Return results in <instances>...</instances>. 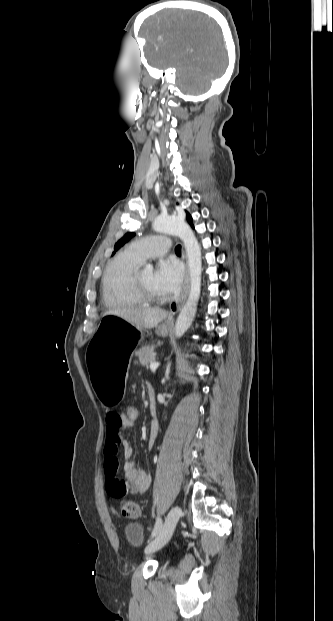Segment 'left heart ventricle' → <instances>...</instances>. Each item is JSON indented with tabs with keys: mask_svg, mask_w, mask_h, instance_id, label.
Listing matches in <instances>:
<instances>
[{
	"mask_svg": "<svg viewBox=\"0 0 333 621\" xmlns=\"http://www.w3.org/2000/svg\"><path fill=\"white\" fill-rule=\"evenodd\" d=\"M140 281L142 285L153 295L156 296H164L165 294L162 290L156 285L154 281V272L152 270H141L139 274Z\"/></svg>",
	"mask_w": 333,
	"mask_h": 621,
	"instance_id": "b2bd125f",
	"label": "left heart ventricle"
}]
</instances>
